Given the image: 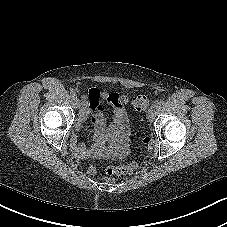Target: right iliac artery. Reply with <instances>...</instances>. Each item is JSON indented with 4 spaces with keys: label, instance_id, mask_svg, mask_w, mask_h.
Here are the masks:
<instances>
[{
    "label": "right iliac artery",
    "instance_id": "obj_1",
    "mask_svg": "<svg viewBox=\"0 0 227 227\" xmlns=\"http://www.w3.org/2000/svg\"><path fill=\"white\" fill-rule=\"evenodd\" d=\"M71 98H72L73 100H75V99L77 98L76 94H75V93H72V94H71Z\"/></svg>",
    "mask_w": 227,
    "mask_h": 227
}]
</instances>
